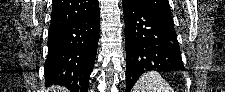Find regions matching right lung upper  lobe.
Masks as SVG:
<instances>
[{"instance_id":"obj_1","label":"right lung upper lobe","mask_w":225,"mask_h":92,"mask_svg":"<svg viewBox=\"0 0 225 92\" xmlns=\"http://www.w3.org/2000/svg\"><path fill=\"white\" fill-rule=\"evenodd\" d=\"M99 11L98 0H54L50 28L90 17Z\"/></svg>"}]
</instances>
